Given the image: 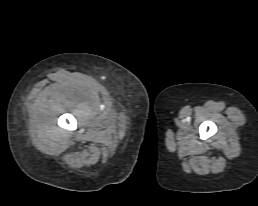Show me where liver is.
I'll list each match as a JSON object with an SVG mask.
<instances>
[{
  "label": "liver",
  "instance_id": "obj_1",
  "mask_svg": "<svg viewBox=\"0 0 258 206\" xmlns=\"http://www.w3.org/2000/svg\"><path fill=\"white\" fill-rule=\"evenodd\" d=\"M48 91V88H46L45 90H44V93H46Z\"/></svg>",
  "mask_w": 258,
  "mask_h": 206
}]
</instances>
